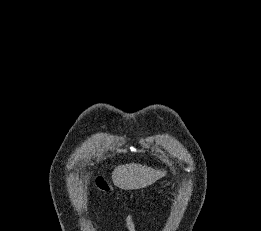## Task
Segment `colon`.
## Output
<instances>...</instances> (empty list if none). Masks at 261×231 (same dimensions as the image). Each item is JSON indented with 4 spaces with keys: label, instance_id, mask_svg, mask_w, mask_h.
<instances>
[{
    "label": "colon",
    "instance_id": "5ec220e1",
    "mask_svg": "<svg viewBox=\"0 0 261 231\" xmlns=\"http://www.w3.org/2000/svg\"><path fill=\"white\" fill-rule=\"evenodd\" d=\"M103 191H104V192H107V191H108V188H107V187H105V188L103 189Z\"/></svg>",
    "mask_w": 261,
    "mask_h": 231
}]
</instances>
